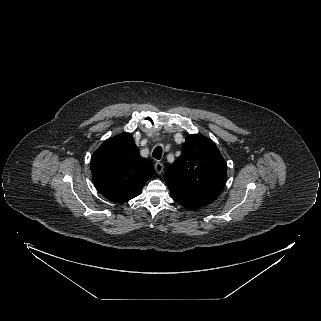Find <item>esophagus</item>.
Returning <instances> with one entry per match:
<instances>
[{"label": "esophagus", "instance_id": "34e87169", "mask_svg": "<svg viewBox=\"0 0 321 321\" xmlns=\"http://www.w3.org/2000/svg\"><path fill=\"white\" fill-rule=\"evenodd\" d=\"M164 166L161 162L155 163V171L157 174H161L163 172Z\"/></svg>", "mask_w": 321, "mask_h": 321}]
</instances>
